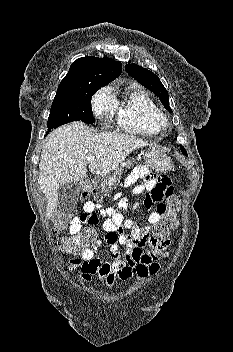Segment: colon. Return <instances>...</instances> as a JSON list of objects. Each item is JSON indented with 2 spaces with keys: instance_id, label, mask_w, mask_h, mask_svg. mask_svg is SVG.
Returning <instances> with one entry per match:
<instances>
[{
  "instance_id": "colon-1",
  "label": "colon",
  "mask_w": 233,
  "mask_h": 352,
  "mask_svg": "<svg viewBox=\"0 0 233 352\" xmlns=\"http://www.w3.org/2000/svg\"><path fill=\"white\" fill-rule=\"evenodd\" d=\"M87 192L83 196H87ZM181 209V200L178 196H170L166 203L158 206L161 214L160 221L153 229V235H148L142 243L152 246H161L169 242V233L178 226V213ZM67 224V217L60 215L55 220L54 231H61ZM96 242V233L91 228L83 229L79 234L71 237H62L58 240L59 249L67 254H81L91 248Z\"/></svg>"
}]
</instances>
